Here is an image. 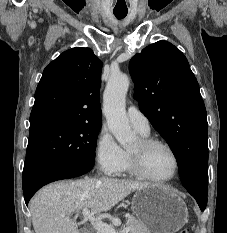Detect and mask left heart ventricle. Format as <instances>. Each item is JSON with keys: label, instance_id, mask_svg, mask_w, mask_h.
Wrapping results in <instances>:
<instances>
[{"label": "left heart ventricle", "instance_id": "left-heart-ventricle-1", "mask_svg": "<svg viewBox=\"0 0 227 233\" xmlns=\"http://www.w3.org/2000/svg\"><path fill=\"white\" fill-rule=\"evenodd\" d=\"M139 146L137 141L130 150H136ZM146 170L153 176L165 178L174 170V160L170 152L162 146H153L148 149L143 157Z\"/></svg>", "mask_w": 227, "mask_h": 233}]
</instances>
